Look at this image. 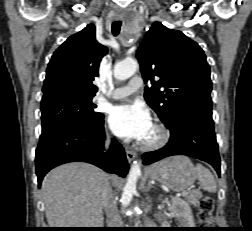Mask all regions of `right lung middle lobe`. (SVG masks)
I'll return each instance as SVG.
<instances>
[{"instance_id":"obj_1","label":"right lung middle lobe","mask_w":252,"mask_h":231,"mask_svg":"<svg viewBox=\"0 0 252 231\" xmlns=\"http://www.w3.org/2000/svg\"><path fill=\"white\" fill-rule=\"evenodd\" d=\"M92 98L66 93L42 99V130L63 122L85 125L98 123L104 115L94 111L96 105L92 103Z\"/></svg>"}]
</instances>
